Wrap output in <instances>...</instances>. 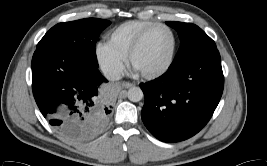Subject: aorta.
Wrapping results in <instances>:
<instances>
[{
  "instance_id": "obj_1",
  "label": "aorta",
  "mask_w": 267,
  "mask_h": 166,
  "mask_svg": "<svg viewBox=\"0 0 267 166\" xmlns=\"http://www.w3.org/2000/svg\"><path fill=\"white\" fill-rule=\"evenodd\" d=\"M128 99L132 102H139L144 97L140 87H131L127 93Z\"/></svg>"
}]
</instances>
